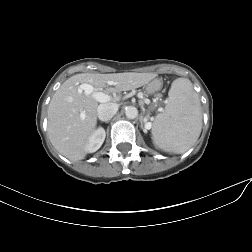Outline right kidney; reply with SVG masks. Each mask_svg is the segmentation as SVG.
<instances>
[{
    "label": "right kidney",
    "mask_w": 252,
    "mask_h": 252,
    "mask_svg": "<svg viewBox=\"0 0 252 252\" xmlns=\"http://www.w3.org/2000/svg\"><path fill=\"white\" fill-rule=\"evenodd\" d=\"M105 136L106 133L102 127H99L97 130H95L88 140L86 151L88 153L96 152L103 144Z\"/></svg>",
    "instance_id": "right-kidney-1"
}]
</instances>
